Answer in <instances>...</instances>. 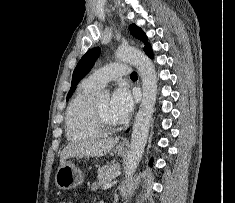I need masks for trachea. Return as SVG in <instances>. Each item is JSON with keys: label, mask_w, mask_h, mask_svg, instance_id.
I'll use <instances>...</instances> for the list:
<instances>
[{"label": "trachea", "mask_w": 235, "mask_h": 203, "mask_svg": "<svg viewBox=\"0 0 235 203\" xmlns=\"http://www.w3.org/2000/svg\"><path fill=\"white\" fill-rule=\"evenodd\" d=\"M131 77H137V73L136 72H132L131 73Z\"/></svg>", "instance_id": "trachea-1"}]
</instances>
